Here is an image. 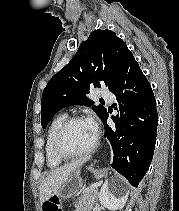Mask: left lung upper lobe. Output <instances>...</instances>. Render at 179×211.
<instances>
[{
    "label": "left lung upper lobe",
    "instance_id": "5c2ea615",
    "mask_svg": "<svg viewBox=\"0 0 179 211\" xmlns=\"http://www.w3.org/2000/svg\"><path fill=\"white\" fill-rule=\"evenodd\" d=\"M129 54L126 43L110 30H95L82 42L72 60L48 82L42 94L41 124L46 128L62 108L72 105L92 106L87 98L91 87L114 86ZM102 120L107 110L93 106Z\"/></svg>",
    "mask_w": 179,
    "mask_h": 211
}]
</instances>
